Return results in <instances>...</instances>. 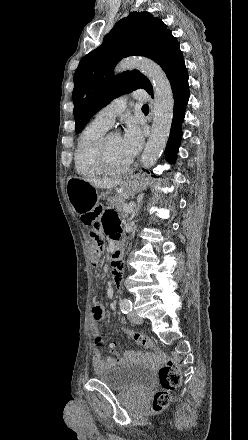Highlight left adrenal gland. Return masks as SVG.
Instances as JSON below:
<instances>
[{
  "label": "left adrenal gland",
  "mask_w": 248,
  "mask_h": 440,
  "mask_svg": "<svg viewBox=\"0 0 248 440\" xmlns=\"http://www.w3.org/2000/svg\"><path fill=\"white\" fill-rule=\"evenodd\" d=\"M141 206H142V201H139V202H138V205H137V206L135 207V209H134V212L132 213V216H131L132 218H133L134 216L138 215Z\"/></svg>",
  "instance_id": "left-adrenal-gland-1"
}]
</instances>
